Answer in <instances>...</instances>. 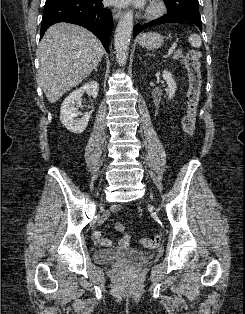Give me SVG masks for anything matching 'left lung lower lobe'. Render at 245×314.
Wrapping results in <instances>:
<instances>
[{"instance_id": "left-lung-lower-lobe-1", "label": "left lung lower lobe", "mask_w": 245, "mask_h": 314, "mask_svg": "<svg viewBox=\"0 0 245 314\" xmlns=\"http://www.w3.org/2000/svg\"><path fill=\"white\" fill-rule=\"evenodd\" d=\"M189 21L194 23L202 31L201 18L191 14H168L162 18L153 20L144 25L136 24L134 27V36L138 35L141 31L151 25L162 24V23H180Z\"/></svg>"}]
</instances>
